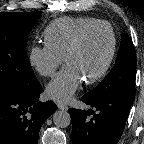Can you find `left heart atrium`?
<instances>
[{
  "label": "left heart atrium",
  "mask_w": 144,
  "mask_h": 144,
  "mask_svg": "<svg viewBox=\"0 0 144 144\" xmlns=\"http://www.w3.org/2000/svg\"><path fill=\"white\" fill-rule=\"evenodd\" d=\"M82 80L79 72L67 64L49 83L46 93L55 101L67 102L75 94Z\"/></svg>",
  "instance_id": "39dd6f15"
}]
</instances>
